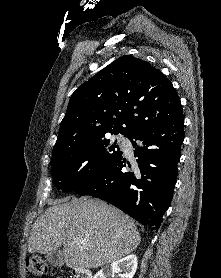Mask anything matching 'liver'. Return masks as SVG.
I'll list each match as a JSON object with an SVG mask.
<instances>
[{
  "mask_svg": "<svg viewBox=\"0 0 221 278\" xmlns=\"http://www.w3.org/2000/svg\"><path fill=\"white\" fill-rule=\"evenodd\" d=\"M50 201L34 222L30 253L47 254L63 246L67 267L90 269L115 262L140 243L134 222L104 201L92 198ZM85 242H82V241Z\"/></svg>",
  "mask_w": 221,
  "mask_h": 278,
  "instance_id": "6515ba94",
  "label": "liver"
}]
</instances>
